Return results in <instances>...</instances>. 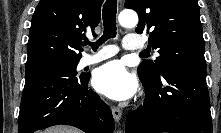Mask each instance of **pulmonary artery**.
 Returning <instances> with one entry per match:
<instances>
[{"label":"pulmonary artery","mask_w":221,"mask_h":133,"mask_svg":"<svg viewBox=\"0 0 221 133\" xmlns=\"http://www.w3.org/2000/svg\"><path fill=\"white\" fill-rule=\"evenodd\" d=\"M123 47L126 50L138 51L144 48V44L137 35L128 34L125 37ZM117 52L118 48L115 45H101L99 46L97 52L91 54H84L78 64V67L83 68L89 65L96 64L102 60L114 56Z\"/></svg>","instance_id":"1"}]
</instances>
